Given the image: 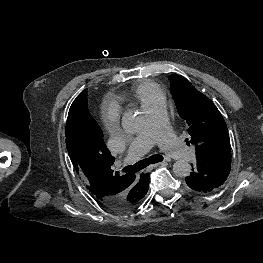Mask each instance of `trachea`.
Instances as JSON below:
<instances>
[{"mask_svg": "<svg viewBox=\"0 0 263 263\" xmlns=\"http://www.w3.org/2000/svg\"><path fill=\"white\" fill-rule=\"evenodd\" d=\"M163 161V156L162 155H152L147 159L141 160L137 163H135L134 165H129L123 168L124 172H129V173H134L137 171H140L142 169H144L145 167H147L150 164H154V163H158Z\"/></svg>", "mask_w": 263, "mask_h": 263, "instance_id": "1", "label": "trachea"}]
</instances>
